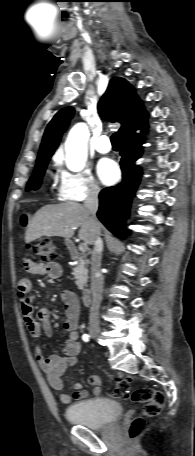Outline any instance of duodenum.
I'll list each match as a JSON object with an SVG mask.
<instances>
[{
	"instance_id": "obj_1",
	"label": "duodenum",
	"mask_w": 195,
	"mask_h": 456,
	"mask_svg": "<svg viewBox=\"0 0 195 456\" xmlns=\"http://www.w3.org/2000/svg\"><path fill=\"white\" fill-rule=\"evenodd\" d=\"M66 247L72 256H74V257L77 256V250H76L73 242L68 241L66 243ZM82 301L85 305H89L91 302V291L87 288L82 291Z\"/></svg>"
}]
</instances>
